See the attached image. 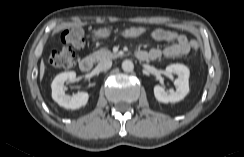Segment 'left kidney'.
<instances>
[{"mask_svg":"<svg viewBox=\"0 0 244 157\" xmlns=\"http://www.w3.org/2000/svg\"><path fill=\"white\" fill-rule=\"evenodd\" d=\"M168 75L176 74L178 78L175 80L176 91H165L160 85L154 86V96L162 103H175L183 100L189 93V75L188 67L183 64H172L165 69Z\"/></svg>","mask_w":244,"mask_h":157,"instance_id":"obj_1","label":"left kidney"}]
</instances>
